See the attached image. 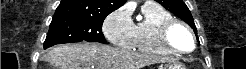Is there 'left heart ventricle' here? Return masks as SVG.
Returning a JSON list of instances; mask_svg holds the SVG:
<instances>
[{
	"label": "left heart ventricle",
	"mask_w": 246,
	"mask_h": 69,
	"mask_svg": "<svg viewBox=\"0 0 246 69\" xmlns=\"http://www.w3.org/2000/svg\"><path fill=\"white\" fill-rule=\"evenodd\" d=\"M171 43L180 49L189 48L191 42L189 34L181 27H175L169 34Z\"/></svg>",
	"instance_id": "obj_1"
}]
</instances>
